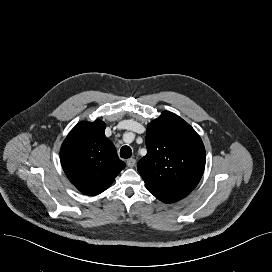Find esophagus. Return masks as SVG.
Returning <instances> with one entry per match:
<instances>
[{
    "instance_id": "34e87169",
    "label": "esophagus",
    "mask_w": 272,
    "mask_h": 272,
    "mask_svg": "<svg viewBox=\"0 0 272 272\" xmlns=\"http://www.w3.org/2000/svg\"><path fill=\"white\" fill-rule=\"evenodd\" d=\"M135 164H136V160L134 158H130V159L127 160V166L128 167L132 168V167L135 166Z\"/></svg>"
}]
</instances>
